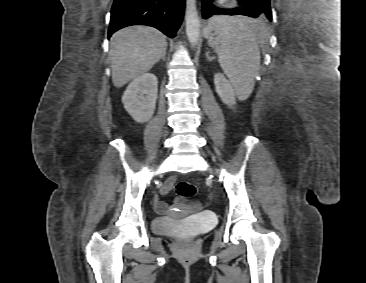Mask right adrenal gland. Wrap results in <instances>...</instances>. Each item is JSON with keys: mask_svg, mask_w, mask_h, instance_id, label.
<instances>
[{"mask_svg": "<svg viewBox=\"0 0 366 283\" xmlns=\"http://www.w3.org/2000/svg\"><path fill=\"white\" fill-rule=\"evenodd\" d=\"M166 52H164L163 54H162V56H161V59L163 60V61H166Z\"/></svg>", "mask_w": 366, "mask_h": 283, "instance_id": "obj_1", "label": "right adrenal gland"}]
</instances>
